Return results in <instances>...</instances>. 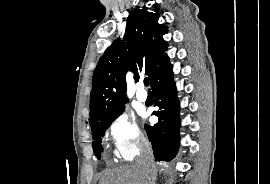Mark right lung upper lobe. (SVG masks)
Wrapping results in <instances>:
<instances>
[{
    "instance_id": "1",
    "label": "right lung upper lobe",
    "mask_w": 270,
    "mask_h": 184,
    "mask_svg": "<svg viewBox=\"0 0 270 184\" xmlns=\"http://www.w3.org/2000/svg\"><path fill=\"white\" fill-rule=\"evenodd\" d=\"M158 12L147 9L132 10L127 18L123 39H117L100 57L93 73L90 94V126L112 118L126 102L127 70L135 80L147 75L150 84L170 67L164 51L167 42L162 35L167 26L159 24Z\"/></svg>"
}]
</instances>
